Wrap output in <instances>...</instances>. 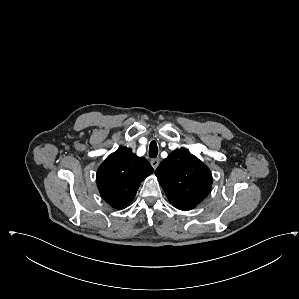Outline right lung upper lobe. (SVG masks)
I'll return each mask as SVG.
<instances>
[{
	"instance_id": "obj_1",
	"label": "right lung upper lobe",
	"mask_w": 299,
	"mask_h": 299,
	"mask_svg": "<svg viewBox=\"0 0 299 299\" xmlns=\"http://www.w3.org/2000/svg\"><path fill=\"white\" fill-rule=\"evenodd\" d=\"M154 169L144 157L129 148H119L107 157L97 171V187L103 199L123 209L134 199L141 182Z\"/></svg>"
}]
</instances>
